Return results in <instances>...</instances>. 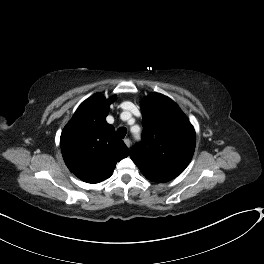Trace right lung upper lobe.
Segmentation results:
<instances>
[{
    "mask_svg": "<svg viewBox=\"0 0 264 264\" xmlns=\"http://www.w3.org/2000/svg\"><path fill=\"white\" fill-rule=\"evenodd\" d=\"M115 99V95L106 99L100 93L94 94L77 108L62 131L60 146L65 164L84 182L109 178L116 163L129 155L114 127L106 122Z\"/></svg>",
    "mask_w": 264,
    "mask_h": 264,
    "instance_id": "obj_1",
    "label": "right lung upper lobe"
}]
</instances>
